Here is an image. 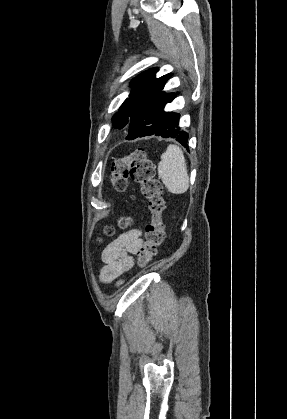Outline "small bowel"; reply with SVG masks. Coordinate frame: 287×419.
<instances>
[{
	"instance_id": "1",
	"label": "small bowel",
	"mask_w": 287,
	"mask_h": 419,
	"mask_svg": "<svg viewBox=\"0 0 287 419\" xmlns=\"http://www.w3.org/2000/svg\"><path fill=\"white\" fill-rule=\"evenodd\" d=\"M141 231L129 230L109 243L102 252L104 266L100 279L104 283L111 282L127 273L133 266L132 254L142 245Z\"/></svg>"
}]
</instances>
